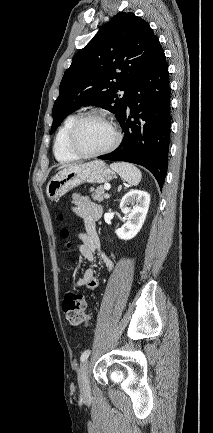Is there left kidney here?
<instances>
[{"instance_id":"5707ae66","label":"left kidney","mask_w":213,"mask_h":433,"mask_svg":"<svg viewBox=\"0 0 213 433\" xmlns=\"http://www.w3.org/2000/svg\"><path fill=\"white\" fill-rule=\"evenodd\" d=\"M149 204L150 195L145 191L131 190L125 194L120 202V209L127 221L115 231L120 239L129 240L138 234L146 219Z\"/></svg>"}]
</instances>
